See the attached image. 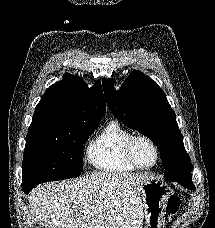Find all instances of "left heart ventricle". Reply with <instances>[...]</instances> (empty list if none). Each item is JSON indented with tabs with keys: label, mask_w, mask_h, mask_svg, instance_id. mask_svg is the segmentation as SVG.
Returning a JSON list of instances; mask_svg holds the SVG:
<instances>
[{
	"label": "left heart ventricle",
	"mask_w": 215,
	"mask_h": 228,
	"mask_svg": "<svg viewBox=\"0 0 215 228\" xmlns=\"http://www.w3.org/2000/svg\"><path fill=\"white\" fill-rule=\"evenodd\" d=\"M134 156L137 163L143 167H149L155 162V153L146 141L137 142Z\"/></svg>",
	"instance_id": "left-heart-ventricle-1"
}]
</instances>
